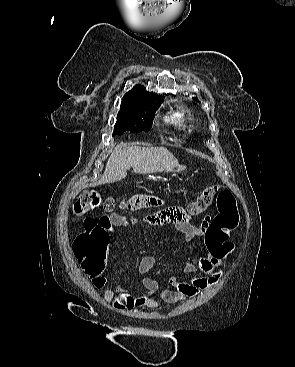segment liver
I'll list each match as a JSON object with an SVG mask.
<instances>
[{
    "label": "liver",
    "instance_id": "obj_1",
    "mask_svg": "<svg viewBox=\"0 0 295 367\" xmlns=\"http://www.w3.org/2000/svg\"><path fill=\"white\" fill-rule=\"evenodd\" d=\"M177 166L178 160L166 148H145L119 143L111 153L98 184L120 181L126 177L130 168L136 174H149L169 172Z\"/></svg>",
    "mask_w": 295,
    "mask_h": 367
}]
</instances>
